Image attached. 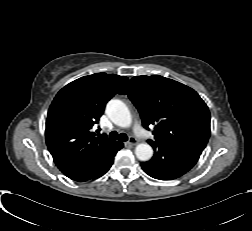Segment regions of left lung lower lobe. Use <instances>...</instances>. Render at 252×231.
<instances>
[{
  "label": "left lung lower lobe",
  "instance_id": "0a47b994",
  "mask_svg": "<svg viewBox=\"0 0 252 231\" xmlns=\"http://www.w3.org/2000/svg\"><path fill=\"white\" fill-rule=\"evenodd\" d=\"M155 153L150 161L141 163L143 170L160 180L176 179L188 172L198 161L203 149L187 144L149 143Z\"/></svg>",
  "mask_w": 252,
  "mask_h": 231
}]
</instances>
